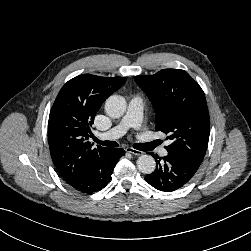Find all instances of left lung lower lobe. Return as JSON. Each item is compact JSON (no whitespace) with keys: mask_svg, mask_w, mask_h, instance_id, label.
I'll list each match as a JSON object with an SVG mask.
<instances>
[{"mask_svg":"<svg viewBox=\"0 0 251 251\" xmlns=\"http://www.w3.org/2000/svg\"><path fill=\"white\" fill-rule=\"evenodd\" d=\"M157 160V167L151 174L145 176V181L154 188L170 192L184 186L194 176L200 163L180 154L169 153L163 157V162L157 154L150 153Z\"/></svg>","mask_w":251,"mask_h":251,"instance_id":"left-lung-lower-lobe-1","label":"left lung lower lobe"}]
</instances>
